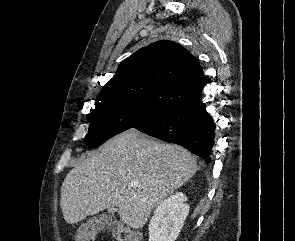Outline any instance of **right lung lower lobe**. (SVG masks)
<instances>
[{
  "mask_svg": "<svg viewBox=\"0 0 295 241\" xmlns=\"http://www.w3.org/2000/svg\"><path fill=\"white\" fill-rule=\"evenodd\" d=\"M137 130L166 142L179 144L210 163L215 143V123L201 96L164 110Z\"/></svg>",
  "mask_w": 295,
  "mask_h": 241,
  "instance_id": "obj_1",
  "label": "right lung lower lobe"
}]
</instances>
